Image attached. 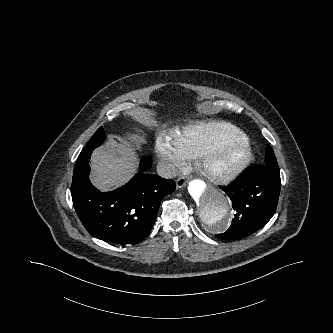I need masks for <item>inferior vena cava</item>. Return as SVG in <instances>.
<instances>
[{
  "label": "inferior vena cava",
  "mask_w": 333,
  "mask_h": 333,
  "mask_svg": "<svg viewBox=\"0 0 333 333\" xmlns=\"http://www.w3.org/2000/svg\"><path fill=\"white\" fill-rule=\"evenodd\" d=\"M157 173L163 178L172 179L177 176L178 171L173 164L163 161L157 165Z\"/></svg>",
  "instance_id": "1"
}]
</instances>
